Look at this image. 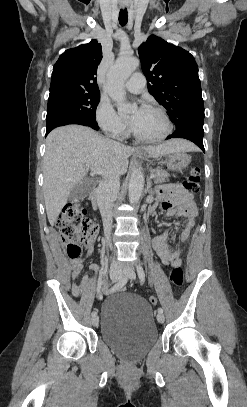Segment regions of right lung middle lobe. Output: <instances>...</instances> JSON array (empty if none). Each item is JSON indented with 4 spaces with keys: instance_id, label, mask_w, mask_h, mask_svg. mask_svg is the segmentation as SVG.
I'll return each mask as SVG.
<instances>
[{
    "instance_id": "right-lung-middle-lobe-1",
    "label": "right lung middle lobe",
    "mask_w": 247,
    "mask_h": 407,
    "mask_svg": "<svg viewBox=\"0 0 247 407\" xmlns=\"http://www.w3.org/2000/svg\"><path fill=\"white\" fill-rule=\"evenodd\" d=\"M99 92L59 91L49 94L46 124L61 119H80L96 123Z\"/></svg>"
}]
</instances>
